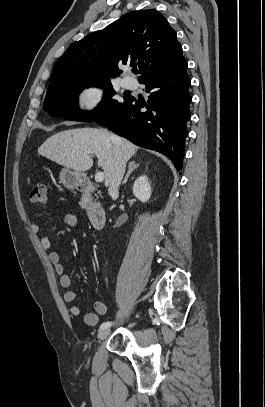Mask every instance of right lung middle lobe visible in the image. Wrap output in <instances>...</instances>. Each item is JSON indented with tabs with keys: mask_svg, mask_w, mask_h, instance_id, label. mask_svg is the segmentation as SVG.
I'll use <instances>...</instances> for the list:
<instances>
[{
	"mask_svg": "<svg viewBox=\"0 0 265 407\" xmlns=\"http://www.w3.org/2000/svg\"><path fill=\"white\" fill-rule=\"evenodd\" d=\"M105 88L104 97L98 107L91 112L81 111L78 96L86 87ZM115 91L109 80H86L79 82L61 81L49 85L44 101V110L51 116L64 117L68 120L92 122L107 114L121 103L114 100ZM128 97H124L126 100Z\"/></svg>",
	"mask_w": 265,
	"mask_h": 407,
	"instance_id": "dd1d6c3e",
	"label": "right lung middle lobe"
}]
</instances>
